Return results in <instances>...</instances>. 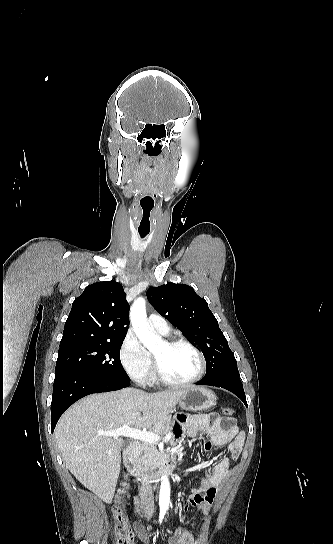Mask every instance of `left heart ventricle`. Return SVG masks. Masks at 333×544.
Returning <instances> with one entry per match:
<instances>
[{"mask_svg": "<svg viewBox=\"0 0 333 544\" xmlns=\"http://www.w3.org/2000/svg\"><path fill=\"white\" fill-rule=\"evenodd\" d=\"M164 376L172 381L182 382L193 378L199 371L197 355L184 345L174 347L162 342L153 351Z\"/></svg>", "mask_w": 333, "mask_h": 544, "instance_id": "b2bd125f", "label": "left heart ventricle"}]
</instances>
